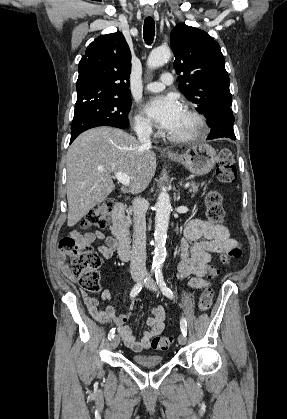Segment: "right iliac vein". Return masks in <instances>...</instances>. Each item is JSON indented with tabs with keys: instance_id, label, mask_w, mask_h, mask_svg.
I'll return each instance as SVG.
<instances>
[{
	"instance_id": "obj_1",
	"label": "right iliac vein",
	"mask_w": 287,
	"mask_h": 419,
	"mask_svg": "<svg viewBox=\"0 0 287 419\" xmlns=\"http://www.w3.org/2000/svg\"><path fill=\"white\" fill-rule=\"evenodd\" d=\"M133 279L135 282H139L141 278L139 276H134ZM119 342H120L119 335H115L114 338L111 340V347L113 349L117 348L119 345Z\"/></svg>"
}]
</instances>
